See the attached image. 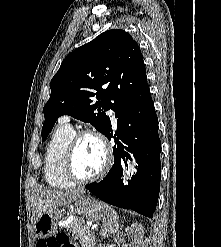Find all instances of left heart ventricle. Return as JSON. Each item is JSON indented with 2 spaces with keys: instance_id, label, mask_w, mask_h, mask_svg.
Masks as SVG:
<instances>
[{
  "instance_id": "1",
  "label": "left heart ventricle",
  "mask_w": 221,
  "mask_h": 247,
  "mask_svg": "<svg viewBox=\"0 0 221 247\" xmlns=\"http://www.w3.org/2000/svg\"><path fill=\"white\" fill-rule=\"evenodd\" d=\"M104 165V152L100 143L91 136L83 137L74 156V169L80 177L97 174Z\"/></svg>"
}]
</instances>
